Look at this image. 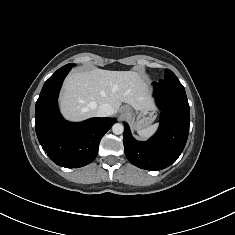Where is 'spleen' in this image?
I'll use <instances>...</instances> for the list:
<instances>
[{"instance_id": "obj_1", "label": "spleen", "mask_w": 235, "mask_h": 235, "mask_svg": "<svg viewBox=\"0 0 235 235\" xmlns=\"http://www.w3.org/2000/svg\"><path fill=\"white\" fill-rule=\"evenodd\" d=\"M157 128H158V124H155V125L149 126L147 128H144L138 131V134L141 138L147 139L155 133Z\"/></svg>"}]
</instances>
